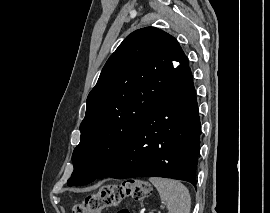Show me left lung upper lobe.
I'll use <instances>...</instances> for the list:
<instances>
[{
  "instance_id": "obj_1",
  "label": "left lung upper lobe",
  "mask_w": 270,
  "mask_h": 213,
  "mask_svg": "<svg viewBox=\"0 0 270 213\" xmlns=\"http://www.w3.org/2000/svg\"><path fill=\"white\" fill-rule=\"evenodd\" d=\"M188 65L168 33L155 27L131 33L109 57L88 95L67 184L85 185L103 177L138 124Z\"/></svg>"
}]
</instances>
